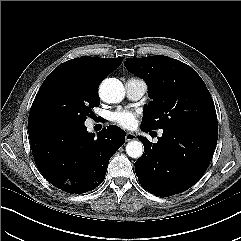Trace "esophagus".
Listing matches in <instances>:
<instances>
[{
	"instance_id": "obj_1",
	"label": "esophagus",
	"mask_w": 241,
	"mask_h": 241,
	"mask_svg": "<svg viewBox=\"0 0 241 241\" xmlns=\"http://www.w3.org/2000/svg\"><path fill=\"white\" fill-rule=\"evenodd\" d=\"M125 139L126 141H132L136 139V135L131 133V132H127L125 135Z\"/></svg>"
}]
</instances>
